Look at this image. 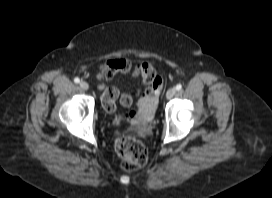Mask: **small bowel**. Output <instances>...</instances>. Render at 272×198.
<instances>
[{"label":"small bowel","instance_id":"1","mask_svg":"<svg viewBox=\"0 0 272 198\" xmlns=\"http://www.w3.org/2000/svg\"><path fill=\"white\" fill-rule=\"evenodd\" d=\"M110 66L112 75H134L142 80L146 86L142 90L130 91L120 94L119 90L115 87L107 89L103 94V105L109 112L114 111L116 101L119 100L120 104L124 107L132 106L134 100L137 98L139 105L147 102L155 103L156 96L162 88V80L158 77L153 67L147 62H141L133 65L126 59H114L108 64Z\"/></svg>","mask_w":272,"mask_h":198}]
</instances>
